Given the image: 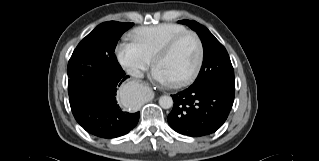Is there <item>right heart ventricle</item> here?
Instances as JSON below:
<instances>
[{"mask_svg": "<svg viewBox=\"0 0 319 161\" xmlns=\"http://www.w3.org/2000/svg\"><path fill=\"white\" fill-rule=\"evenodd\" d=\"M187 31L184 26L163 23L155 26L141 27L131 34L132 42L149 59L153 60L161 47L174 36Z\"/></svg>", "mask_w": 319, "mask_h": 161, "instance_id": "e07e8e85", "label": "right heart ventricle"}]
</instances>
